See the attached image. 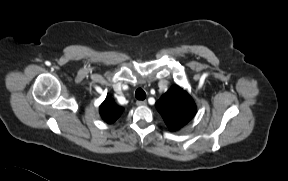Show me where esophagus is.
<instances>
[{
  "label": "esophagus",
  "mask_w": 288,
  "mask_h": 181,
  "mask_svg": "<svg viewBox=\"0 0 288 181\" xmlns=\"http://www.w3.org/2000/svg\"><path fill=\"white\" fill-rule=\"evenodd\" d=\"M147 104V101L146 100H138L137 102H136V105L137 106H144V105H146Z\"/></svg>",
  "instance_id": "esophagus-1"
}]
</instances>
